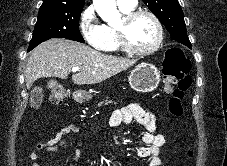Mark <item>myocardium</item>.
Segmentation results:
<instances>
[{"label": "myocardium", "mask_w": 227, "mask_h": 166, "mask_svg": "<svg viewBox=\"0 0 227 166\" xmlns=\"http://www.w3.org/2000/svg\"><path fill=\"white\" fill-rule=\"evenodd\" d=\"M140 16H148L153 21L156 28L155 41L150 47L145 49H140L132 46L127 41L125 34L127 25ZM115 32L119 47L129 54L137 56H146L154 53L159 49L163 41V27L160 20L154 13L147 10H134L128 13H124L120 23L115 28Z\"/></svg>", "instance_id": "1"}]
</instances>
